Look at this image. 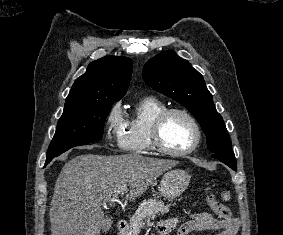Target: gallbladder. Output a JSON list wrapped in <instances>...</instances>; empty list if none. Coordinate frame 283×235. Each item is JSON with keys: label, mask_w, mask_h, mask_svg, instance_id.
<instances>
[{"label": "gallbladder", "mask_w": 283, "mask_h": 235, "mask_svg": "<svg viewBox=\"0 0 283 235\" xmlns=\"http://www.w3.org/2000/svg\"><path fill=\"white\" fill-rule=\"evenodd\" d=\"M105 220H106V224H105L104 230L108 231V230H109V228H108V223H111V224H112V221H111V219L108 218V217H107Z\"/></svg>", "instance_id": "bac80fb5"}]
</instances>
